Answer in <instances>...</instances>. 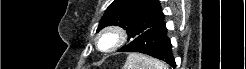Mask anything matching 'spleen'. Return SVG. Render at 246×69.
Returning <instances> with one entry per match:
<instances>
[{"instance_id": "obj_1", "label": "spleen", "mask_w": 246, "mask_h": 69, "mask_svg": "<svg viewBox=\"0 0 246 69\" xmlns=\"http://www.w3.org/2000/svg\"><path fill=\"white\" fill-rule=\"evenodd\" d=\"M123 69H169V68L168 65L157 59L138 53H130L123 66Z\"/></svg>"}]
</instances>
